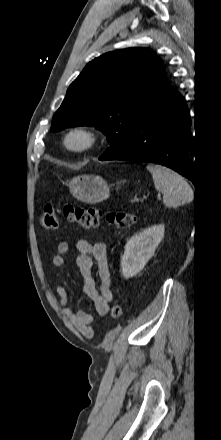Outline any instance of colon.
<instances>
[{"label": "colon", "instance_id": "1", "mask_svg": "<svg viewBox=\"0 0 221 440\" xmlns=\"http://www.w3.org/2000/svg\"><path fill=\"white\" fill-rule=\"evenodd\" d=\"M72 224L83 228H95L105 216L109 224L116 227H131L136 223L137 217L132 213L111 211L106 214L100 209L66 205L61 210L53 205H46L42 211L40 221L46 230H55L59 225V213ZM110 315L113 319L122 316V305L116 303L112 306Z\"/></svg>", "mask_w": 221, "mask_h": 440}]
</instances>
